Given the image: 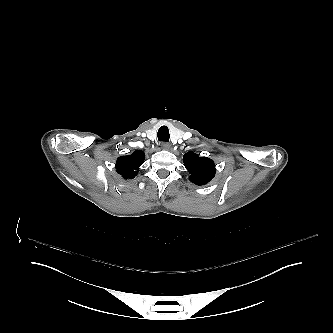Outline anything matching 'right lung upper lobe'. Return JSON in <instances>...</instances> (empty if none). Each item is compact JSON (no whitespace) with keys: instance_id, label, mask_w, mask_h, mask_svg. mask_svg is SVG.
I'll use <instances>...</instances> for the list:
<instances>
[{"instance_id":"cb5924a9","label":"right lung upper lobe","mask_w":333,"mask_h":333,"mask_svg":"<svg viewBox=\"0 0 333 333\" xmlns=\"http://www.w3.org/2000/svg\"><path fill=\"white\" fill-rule=\"evenodd\" d=\"M144 152L136 150L131 155L121 156L116 161L117 172L124 179H133L139 167L144 163Z\"/></svg>"}]
</instances>
